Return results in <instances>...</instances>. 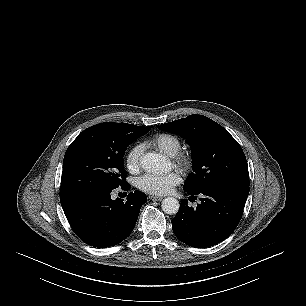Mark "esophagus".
<instances>
[{
	"label": "esophagus",
	"mask_w": 306,
	"mask_h": 306,
	"mask_svg": "<svg viewBox=\"0 0 306 306\" xmlns=\"http://www.w3.org/2000/svg\"><path fill=\"white\" fill-rule=\"evenodd\" d=\"M149 199L152 200V201H161L163 199V197L156 196V195H150Z\"/></svg>",
	"instance_id": "34e87169"
}]
</instances>
